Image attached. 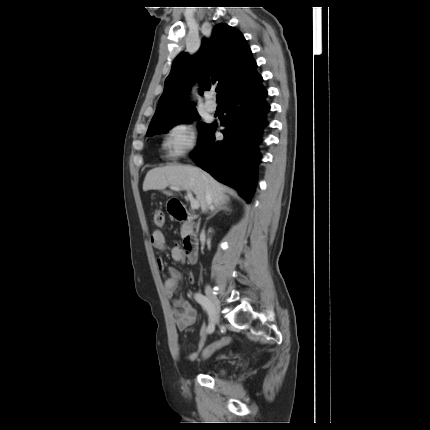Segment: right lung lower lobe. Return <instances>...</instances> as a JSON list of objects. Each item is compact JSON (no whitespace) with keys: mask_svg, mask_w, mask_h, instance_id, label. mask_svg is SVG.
<instances>
[{"mask_svg":"<svg viewBox=\"0 0 430 430\" xmlns=\"http://www.w3.org/2000/svg\"><path fill=\"white\" fill-rule=\"evenodd\" d=\"M257 75L235 86L222 101L226 118L223 140H217L213 124L195 150L197 164L218 181L238 190L247 202L253 196L262 131L268 125L270 107L265 100L266 89Z\"/></svg>","mask_w":430,"mask_h":430,"instance_id":"obj_1","label":"right lung lower lobe"}]
</instances>
